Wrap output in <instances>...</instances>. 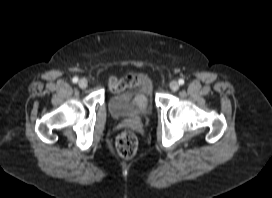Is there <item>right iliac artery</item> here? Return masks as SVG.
I'll use <instances>...</instances> for the list:
<instances>
[{"instance_id":"1","label":"right iliac artery","mask_w":272,"mask_h":198,"mask_svg":"<svg viewBox=\"0 0 272 198\" xmlns=\"http://www.w3.org/2000/svg\"><path fill=\"white\" fill-rule=\"evenodd\" d=\"M72 81H73V83H77V82H78V78H77V77H74V78L72 79Z\"/></svg>"}]
</instances>
